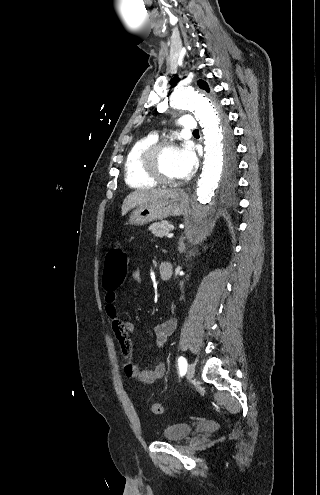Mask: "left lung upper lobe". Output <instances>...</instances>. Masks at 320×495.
Instances as JSON below:
<instances>
[{
    "label": "left lung upper lobe",
    "instance_id": "5c2ea615",
    "mask_svg": "<svg viewBox=\"0 0 320 495\" xmlns=\"http://www.w3.org/2000/svg\"><path fill=\"white\" fill-rule=\"evenodd\" d=\"M198 85L201 89L209 92L208 84L199 80ZM224 147H223V161H224V170L227 174H230L234 171L236 167V159H235V147L232 140L231 132L227 129H224Z\"/></svg>",
    "mask_w": 320,
    "mask_h": 495
}]
</instances>
